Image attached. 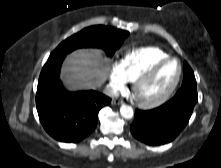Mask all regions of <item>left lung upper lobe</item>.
Returning a JSON list of instances; mask_svg holds the SVG:
<instances>
[{
  "instance_id": "1",
  "label": "left lung upper lobe",
  "mask_w": 221,
  "mask_h": 168,
  "mask_svg": "<svg viewBox=\"0 0 221 168\" xmlns=\"http://www.w3.org/2000/svg\"><path fill=\"white\" fill-rule=\"evenodd\" d=\"M184 77L182 84L194 83L196 84V79L194 73L187 62H184Z\"/></svg>"
}]
</instances>
